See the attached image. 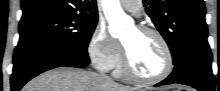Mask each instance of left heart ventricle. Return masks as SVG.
Here are the masks:
<instances>
[{"label": "left heart ventricle", "mask_w": 220, "mask_h": 91, "mask_svg": "<svg viewBox=\"0 0 220 91\" xmlns=\"http://www.w3.org/2000/svg\"><path fill=\"white\" fill-rule=\"evenodd\" d=\"M122 43L135 72L144 76L159 74L165 66V55L158 40L131 28L124 35Z\"/></svg>", "instance_id": "obj_1"}]
</instances>
